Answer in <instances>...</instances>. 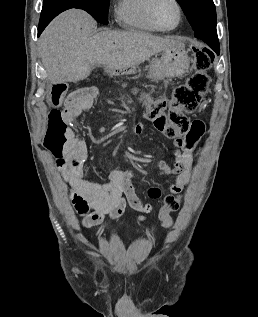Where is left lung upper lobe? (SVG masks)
<instances>
[{"mask_svg": "<svg viewBox=\"0 0 258 317\" xmlns=\"http://www.w3.org/2000/svg\"><path fill=\"white\" fill-rule=\"evenodd\" d=\"M193 30L216 28V10L213 0H177Z\"/></svg>", "mask_w": 258, "mask_h": 317, "instance_id": "obj_1", "label": "left lung upper lobe"}]
</instances>
